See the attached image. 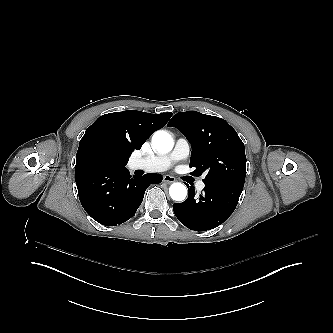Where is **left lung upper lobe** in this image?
I'll return each mask as SVG.
<instances>
[{
    "instance_id": "obj_1",
    "label": "left lung upper lobe",
    "mask_w": 333,
    "mask_h": 333,
    "mask_svg": "<svg viewBox=\"0 0 333 333\" xmlns=\"http://www.w3.org/2000/svg\"><path fill=\"white\" fill-rule=\"evenodd\" d=\"M170 127L180 130L191 143V173L206 172L205 184L226 183L244 187L245 147L237 132L222 118L196 111L175 114Z\"/></svg>"
}]
</instances>
